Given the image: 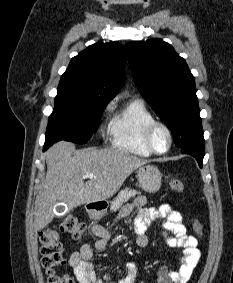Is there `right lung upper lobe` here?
I'll return each instance as SVG.
<instances>
[{
	"mask_svg": "<svg viewBox=\"0 0 233 283\" xmlns=\"http://www.w3.org/2000/svg\"><path fill=\"white\" fill-rule=\"evenodd\" d=\"M125 52L119 42L96 43L73 57L58 90L107 104L123 86Z\"/></svg>",
	"mask_w": 233,
	"mask_h": 283,
	"instance_id": "cb5924a9",
	"label": "right lung upper lobe"
}]
</instances>
